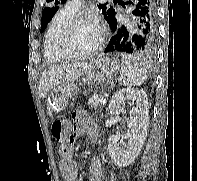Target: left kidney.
Returning <instances> with one entry per match:
<instances>
[{
	"label": "left kidney",
	"mask_w": 197,
	"mask_h": 181,
	"mask_svg": "<svg viewBox=\"0 0 197 181\" xmlns=\"http://www.w3.org/2000/svg\"><path fill=\"white\" fill-rule=\"evenodd\" d=\"M127 101H133V108L127 118V142L123 143L120 135H112L108 142V151L111 159L120 167L132 164L139 155L147 137L149 123L148 98L144 90L138 88H124L112 97L109 111L119 120V115L125 114L124 105ZM119 141L124 148L119 146Z\"/></svg>",
	"instance_id": "left-kidney-1"
}]
</instances>
